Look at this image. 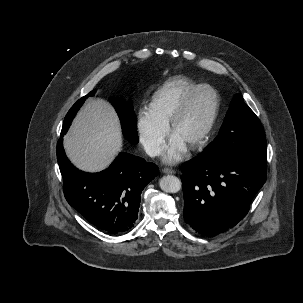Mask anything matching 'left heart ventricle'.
<instances>
[{
    "instance_id": "1",
    "label": "left heart ventricle",
    "mask_w": 303,
    "mask_h": 303,
    "mask_svg": "<svg viewBox=\"0 0 303 303\" xmlns=\"http://www.w3.org/2000/svg\"><path fill=\"white\" fill-rule=\"evenodd\" d=\"M214 107V94L207 89L199 92L177 123L173 135L190 145L206 127Z\"/></svg>"
}]
</instances>
